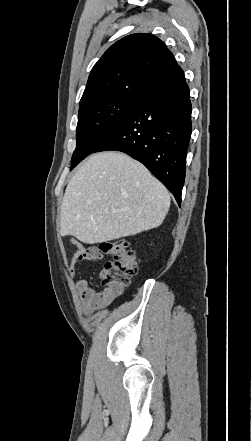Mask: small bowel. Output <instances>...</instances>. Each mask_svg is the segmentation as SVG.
Wrapping results in <instances>:
<instances>
[{"label":"small bowel","mask_w":251,"mask_h":441,"mask_svg":"<svg viewBox=\"0 0 251 441\" xmlns=\"http://www.w3.org/2000/svg\"><path fill=\"white\" fill-rule=\"evenodd\" d=\"M73 244L76 247V251L68 265V272L70 275L76 273L79 264L86 261L98 260L102 257L100 251L95 247L86 248L79 242H73ZM75 286L82 307L86 313L109 305L122 293V290H114L110 286H106L101 291H96L90 286L89 281L85 278L79 279Z\"/></svg>","instance_id":"c3829d8e"}]
</instances>
